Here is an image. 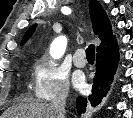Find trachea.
<instances>
[{"mask_svg":"<svg viewBox=\"0 0 133 118\" xmlns=\"http://www.w3.org/2000/svg\"><path fill=\"white\" fill-rule=\"evenodd\" d=\"M86 57L88 60H94L95 59V46L89 45L86 49Z\"/></svg>","mask_w":133,"mask_h":118,"instance_id":"1","label":"trachea"}]
</instances>
